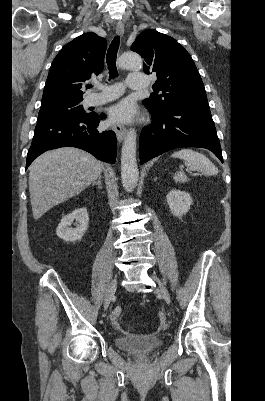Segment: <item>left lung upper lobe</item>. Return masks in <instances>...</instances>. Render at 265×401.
I'll use <instances>...</instances> for the list:
<instances>
[{"label": "left lung upper lobe", "mask_w": 265, "mask_h": 401, "mask_svg": "<svg viewBox=\"0 0 265 401\" xmlns=\"http://www.w3.org/2000/svg\"><path fill=\"white\" fill-rule=\"evenodd\" d=\"M131 50L144 58V72L156 73L155 94L143 100L149 109L162 112L184 104L208 105L205 88L192 57L172 37L156 30L143 31Z\"/></svg>", "instance_id": "1"}]
</instances>
